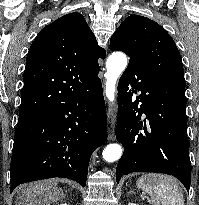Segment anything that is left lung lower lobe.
<instances>
[{
    "label": "left lung lower lobe",
    "instance_id": "obj_1",
    "mask_svg": "<svg viewBox=\"0 0 199 205\" xmlns=\"http://www.w3.org/2000/svg\"><path fill=\"white\" fill-rule=\"evenodd\" d=\"M137 91L141 95L133 100ZM142 114L144 121H140ZM116 139L124 147L116 168L117 183L132 172H158L178 178L189 192L186 100L163 91L131 59L118 84Z\"/></svg>",
    "mask_w": 199,
    "mask_h": 205
}]
</instances>
